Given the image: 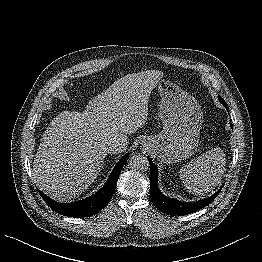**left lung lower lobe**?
<instances>
[{"mask_svg": "<svg viewBox=\"0 0 262 262\" xmlns=\"http://www.w3.org/2000/svg\"><path fill=\"white\" fill-rule=\"evenodd\" d=\"M224 107L228 110V106L224 105ZM229 112V110H228ZM232 127V125H231ZM150 162V191H151V200L154 206L163 213L174 215V216H182L193 213L207 205H209L218 195V190L215 194L210 196L209 198L198 200L196 202H182L170 197L163 195L158 187V168L150 157H148ZM223 187V186H222Z\"/></svg>", "mask_w": 262, "mask_h": 262, "instance_id": "1", "label": "left lung lower lobe"}]
</instances>
